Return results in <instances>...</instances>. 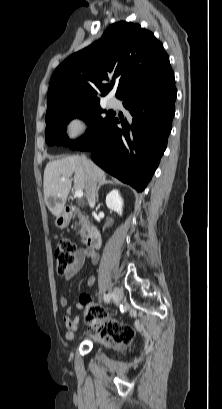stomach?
I'll list each match as a JSON object with an SVG mask.
<instances>
[{
    "label": "stomach",
    "instance_id": "stomach-1",
    "mask_svg": "<svg viewBox=\"0 0 222 409\" xmlns=\"http://www.w3.org/2000/svg\"><path fill=\"white\" fill-rule=\"evenodd\" d=\"M71 216L70 214L63 209L62 212L56 216L55 226L59 229L66 228L70 223Z\"/></svg>",
    "mask_w": 222,
    "mask_h": 409
}]
</instances>
